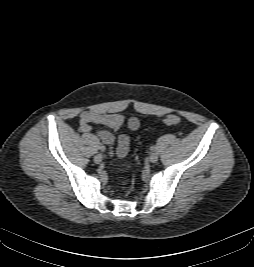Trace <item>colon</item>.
<instances>
[{
    "mask_svg": "<svg viewBox=\"0 0 254 267\" xmlns=\"http://www.w3.org/2000/svg\"><path fill=\"white\" fill-rule=\"evenodd\" d=\"M179 117L177 115H168L165 119H164V123L168 126H173L179 123Z\"/></svg>",
    "mask_w": 254,
    "mask_h": 267,
    "instance_id": "colon-1",
    "label": "colon"
}]
</instances>
